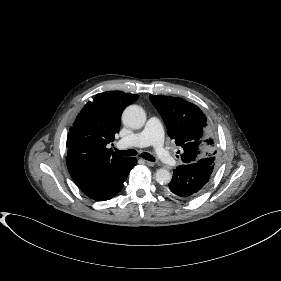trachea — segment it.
I'll list each match as a JSON object with an SVG mask.
<instances>
[{
	"label": "trachea",
	"mask_w": 281,
	"mask_h": 281,
	"mask_svg": "<svg viewBox=\"0 0 281 281\" xmlns=\"http://www.w3.org/2000/svg\"><path fill=\"white\" fill-rule=\"evenodd\" d=\"M116 152L123 156H135L137 155V151L134 149H128V150H117ZM141 157L148 160V161H155V158L150 153H142Z\"/></svg>",
	"instance_id": "1"
}]
</instances>
